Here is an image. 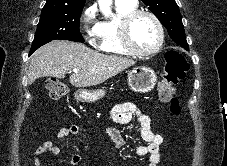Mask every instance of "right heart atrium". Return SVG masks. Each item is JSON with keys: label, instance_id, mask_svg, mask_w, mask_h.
<instances>
[{"label": "right heart atrium", "instance_id": "obj_1", "mask_svg": "<svg viewBox=\"0 0 227 166\" xmlns=\"http://www.w3.org/2000/svg\"><path fill=\"white\" fill-rule=\"evenodd\" d=\"M81 27L85 39L92 45L99 40V22L97 21V7L88 6L81 16Z\"/></svg>", "mask_w": 227, "mask_h": 166}]
</instances>
